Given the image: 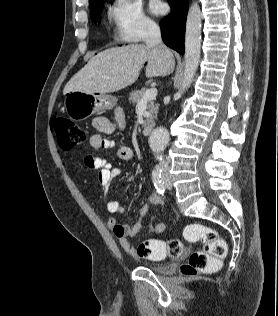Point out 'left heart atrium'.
I'll use <instances>...</instances> for the list:
<instances>
[{
    "label": "left heart atrium",
    "instance_id": "left-heart-atrium-1",
    "mask_svg": "<svg viewBox=\"0 0 278 316\" xmlns=\"http://www.w3.org/2000/svg\"><path fill=\"white\" fill-rule=\"evenodd\" d=\"M150 10L154 14H163L166 11V5L159 0H154L150 5Z\"/></svg>",
    "mask_w": 278,
    "mask_h": 316
}]
</instances>
